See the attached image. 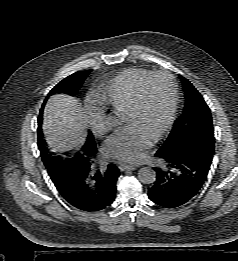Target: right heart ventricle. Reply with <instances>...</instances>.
<instances>
[{
  "label": "right heart ventricle",
  "instance_id": "e07e8e85",
  "mask_svg": "<svg viewBox=\"0 0 238 261\" xmlns=\"http://www.w3.org/2000/svg\"><path fill=\"white\" fill-rule=\"evenodd\" d=\"M151 73L144 68H129L110 80L97 95V103L114 112L125 113L133 102L140 82Z\"/></svg>",
  "mask_w": 238,
  "mask_h": 261
}]
</instances>
